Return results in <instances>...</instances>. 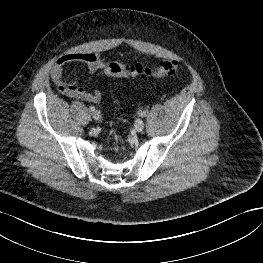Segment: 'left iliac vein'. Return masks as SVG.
I'll use <instances>...</instances> for the list:
<instances>
[{"mask_svg": "<svg viewBox=\"0 0 263 263\" xmlns=\"http://www.w3.org/2000/svg\"><path fill=\"white\" fill-rule=\"evenodd\" d=\"M144 125H145V123H144V121H143L142 119H137V120L135 121V129H136L138 132H140V131L143 130Z\"/></svg>", "mask_w": 263, "mask_h": 263, "instance_id": "left-iliac-vein-1", "label": "left iliac vein"}]
</instances>
